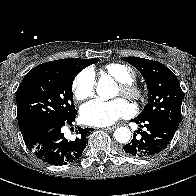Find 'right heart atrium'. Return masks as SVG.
I'll return each instance as SVG.
<instances>
[{
	"mask_svg": "<svg viewBox=\"0 0 196 196\" xmlns=\"http://www.w3.org/2000/svg\"><path fill=\"white\" fill-rule=\"evenodd\" d=\"M73 94L77 100H85L94 94L95 74L86 68L79 72L72 84Z\"/></svg>",
	"mask_w": 196,
	"mask_h": 196,
	"instance_id": "1",
	"label": "right heart atrium"
}]
</instances>
